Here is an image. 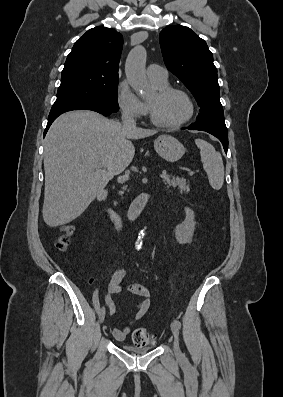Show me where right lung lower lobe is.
I'll return each mask as SVG.
<instances>
[{
	"label": "right lung lower lobe",
	"mask_w": 283,
	"mask_h": 397,
	"mask_svg": "<svg viewBox=\"0 0 283 397\" xmlns=\"http://www.w3.org/2000/svg\"><path fill=\"white\" fill-rule=\"evenodd\" d=\"M71 110H92V111H96L98 113L103 114L104 116H108L110 114H112L113 112L108 111L104 108L98 107V106H94L91 104H83V103H63V104H54L51 108L49 117H48V123L46 126V129L44 131V136L47 133L50 125L52 124V122L62 113L67 112V111H71Z\"/></svg>",
	"instance_id": "1"
}]
</instances>
